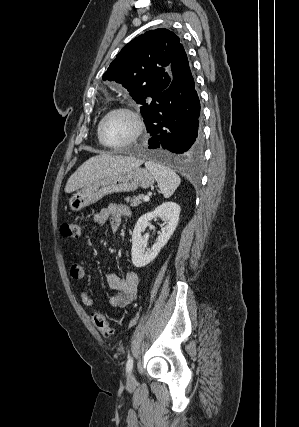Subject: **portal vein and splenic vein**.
Instances as JSON below:
<instances>
[{
    "instance_id": "1",
    "label": "portal vein and splenic vein",
    "mask_w": 299,
    "mask_h": 427,
    "mask_svg": "<svg viewBox=\"0 0 299 427\" xmlns=\"http://www.w3.org/2000/svg\"><path fill=\"white\" fill-rule=\"evenodd\" d=\"M143 199H144L145 202H148L150 200L149 196H144Z\"/></svg>"
}]
</instances>
